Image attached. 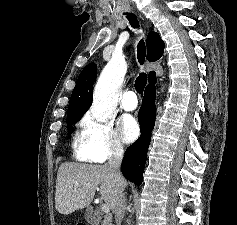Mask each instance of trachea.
I'll return each mask as SVG.
<instances>
[{
    "mask_svg": "<svg viewBox=\"0 0 237 225\" xmlns=\"http://www.w3.org/2000/svg\"><path fill=\"white\" fill-rule=\"evenodd\" d=\"M127 19L129 20L130 24L134 28L139 27V22L136 16L132 13L127 14ZM146 56V46L144 40H140L137 46V59L140 64H144ZM147 84V75L146 73H140L137 79L135 80V89L138 93L142 94L143 90Z\"/></svg>",
    "mask_w": 237,
    "mask_h": 225,
    "instance_id": "obj_1",
    "label": "trachea"
}]
</instances>
